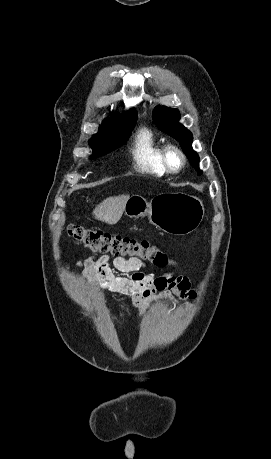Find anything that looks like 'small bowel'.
Instances as JSON below:
<instances>
[{
  "label": "small bowel",
  "mask_w": 271,
  "mask_h": 459,
  "mask_svg": "<svg viewBox=\"0 0 271 459\" xmlns=\"http://www.w3.org/2000/svg\"><path fill=\"white\" fill-rule=\"evenodd\" d=\"M76 264L83 270L91 286H100L131 296L133 308L140 312L155 300H166L176 304V297L187 301L195 296L186 277L172 274L162 276L144 274L141 270L145 267V263L138 258L127 259L117 256L113 259L114 268L122 275L116 274L111 268L109 255L78 259ZM126 311H129V308Z\"/></svg>",
  "instance_id": "small-bowel-1"
}]
</instances>
